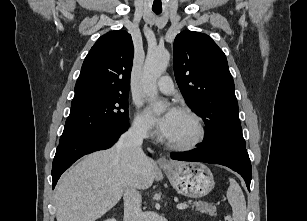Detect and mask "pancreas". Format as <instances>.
I'll use <instances>...</instances> for the list:
<instances>
[{
    "label": "pancreas",
    "instance_id": "1",
    "mask_svg": "<svg viewBox=\"0 0 307 221\" xmlns=\"http://www.w3.org/2000/svg\"><path fill=\"white\" fill-rule=\"evenodd\" d=\"M196 207V211H200L201 213L209 214L210 216H216V207L206 202L198 201L193 203V207Z\"/></svg>",
    "mask_w": 307,
    "mask_h": 221
}]
</instances>
